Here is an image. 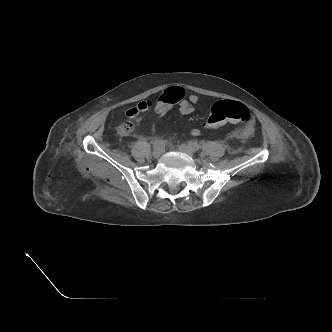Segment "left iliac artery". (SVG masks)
<instances>
[{
  "label": "left iliac artery",
  "instance_id": "1",
  "mask_svg": "<svg viewBox=\"0 0 332 332\" xmlns=\"http://www.w3.org/2000/svg\"><path fill=\"white\" fill-rule=\"evenodd\" d=\"M189 145L193 148L194 151H198L200 146L196 142H189Z\"/></svg>",
  "mask_w": 332,
  "mask_h": 332
}]
</instances>
